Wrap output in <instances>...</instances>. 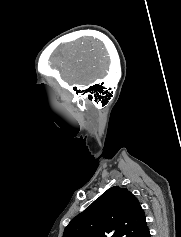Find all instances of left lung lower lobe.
I'll return each instance as SVG.
<instances>
[{"label": "left lung lower lobe", "mask_w": 181, "mask_h": 237, "mask_svg": "<svg viewBox=\"0 0 181 237\" xmlns=\"http://www.w3.org/2000/svg\"><path fill=\"white\" fill-rule=\"evenodd\" d=\"M139 237H150L149 229L147 228Z\"/></svg>", "instance_id": "1"}]
</instances>
